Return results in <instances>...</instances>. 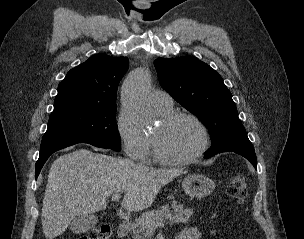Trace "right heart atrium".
I'll list each match as a JSON object with an SVG mask.
<instances>
[{
	"mask_svg": "<svg viewBox=\"0 0 304 239\" xmlns=\"http://www.w3.org/2000/svg\"><path fill=\"white\" fill-rule=\"evenodd\" d=\"M116 127L127 156L146 160L151 149L150 137L133 122L130 114L124 108L118 113Z\"/></svg>",
	"mask_w": 304,
	"mask_h": 239,
	"instance_id": "obj_1",
	"label": "right heart atrium"
}]
</instances>
